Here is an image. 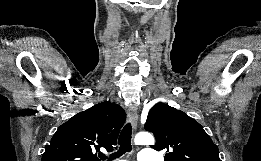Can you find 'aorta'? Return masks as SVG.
Returning <instances> with one entry per match:
<instances>
[{"label":"aorta","mask_w":261,"mask_h":161,"mask_svg":"<svg viewBox=\"0 0 261 161\" xmlns=\"http://www.w3.org/2000/svg\"><path fill=\"white\" fill-rule=\"evenodd\" d=\"M136 145H153L154 137L147 132H140L135 136Z\"/></svg>","instance_id":"obj_1"}]
</instances>
